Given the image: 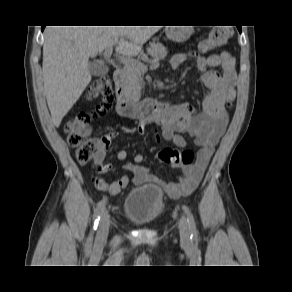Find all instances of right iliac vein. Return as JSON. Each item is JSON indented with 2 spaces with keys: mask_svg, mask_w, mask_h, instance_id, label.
Instances as JSON below:
<instances>
[{
  "mask_svg": "<svg viewBox=\"0 0 292 292\" xmlns=\"http://www.w3.org/2000/svg\"><path fill=\"white\" fill-rule=\"evenodd\" d=\"M109 232V215L107 212H104L101 216L99 227L97 231V240L102 242L106 239Z\"/></svg>",
  "mask_w": 292,
  "mask_h": 292,
  "instance_id": "1",
  "label": "right iliac vein"
}]
</instances>
